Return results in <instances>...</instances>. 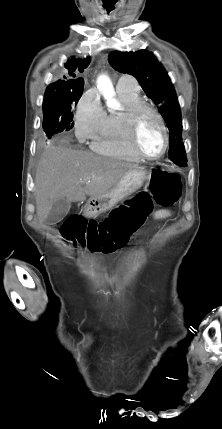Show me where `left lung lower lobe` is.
I'll return each instance as SVG.
<instances>
[{
  "mask_svg": "<svg viewBox=\"0 0 222 429\" xmlns=\"http://www.w3.org/2000/svg\"><path fill=\"white\" fill-rule=\"evenodd\" d=\"M174 164H176V165H178V166H180V167H185V166H187V164H180V163H175V162H173Z\"/></svg>",
  "mask_w": 222,
  "mask_h": 429,
  "instance_id": "obj_1",
  "label": "left lung lower lobe"
}]
</instances>
